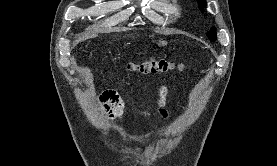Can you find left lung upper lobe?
I'll list each match as a JSON object with an SVG mask.
<instances>
[{"instance_id":"1","label":"left lung upper lobe","mask_w":277,"mask_h":166,"mask_svg":"<svg viewBox=\"0 0 277 166\" xmlns=\"http://www.w3.org/2000/svg\"><path fill=\"white\" fill-rule=\"evenodd\" d=\"M200 4H203V6H206V1L205 0H197ZM215 27H212L211 30L209 32H207V36L209 37V39L211 41H215L216 40V32H215Z\"/></svg>"}]
</instances>
